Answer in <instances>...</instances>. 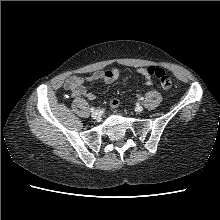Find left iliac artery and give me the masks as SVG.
I'll use <instances>...</instances> for the list:
<instances>
[{
    "mask_svg": "<svg viewBox=\"0 0 220 220\" xmlns=\"http://www.w3.org/2000/svg\"><path fill=\"white\" fill-rule=\"evenodd\" d=\"M143 99H144V97H143V96L139 97V100H141V101H142Z\"/></svg>",
    "mask_w": 220,
    "mask_h": 220,
    "instance_id": "obj_1",
    "label": "left iliac artery"
}]
</instances>
